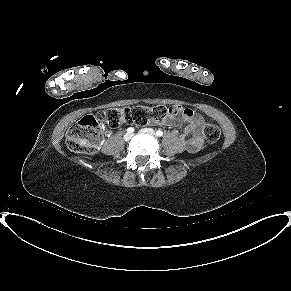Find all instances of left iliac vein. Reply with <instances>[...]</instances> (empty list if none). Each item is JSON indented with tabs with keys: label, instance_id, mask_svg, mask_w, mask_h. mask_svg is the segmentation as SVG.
<instances>
[{
	"label": "left iliac vein",
	"instance_id": "1",
	"mask_svg": "<svg viewBox=\"0 0 291 291\" xmlns=\"http://www.w3.org/2000/svg\"><path fill=\"white\" fill-rule=\"evenodd\" d=\"M140 132H141V133H147V134H150V135H152V136H156L154 130H153V129H150V128L142 129Z\"/></svg>",
	"mask_w": 291,
	"mask_h": 291
}]
</instances>
